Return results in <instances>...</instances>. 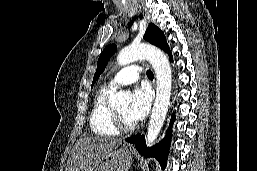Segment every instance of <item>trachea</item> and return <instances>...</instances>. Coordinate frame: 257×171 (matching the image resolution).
<instances>
[{
	"instance_id": "3493384b",
	"label": "trachea",
	"mask_w": 257,
	"mask_h": 171,
	"mask_svg": "<svg viewBox=\"0 0 257 171\" xmlns=\"http://www.w3.org/2000/svg\"><path fill=\"white\" fill-rule=\"evenodd\" d=\"M147 77L150 79H153L154 75L153 72L151 70H147Z\"/></svg>"
}]
</instances>
